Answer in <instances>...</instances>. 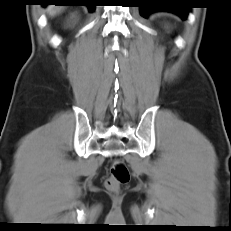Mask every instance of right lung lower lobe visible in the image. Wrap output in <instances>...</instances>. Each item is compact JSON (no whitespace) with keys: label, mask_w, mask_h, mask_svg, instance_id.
Instances as JSON below:
<instances>
[{"label":"right lung lower lobe","mask_w":231,"mask_h":231,"mask_svg":"<svg viewBox=\"0 0 231 231\" xmlns=\"http://www.w3.org/2000/svg\"><path fill=\"white\" fill-rule=\"evenodd\" d=\"M44 3L42 5L46 6L48 4L55 5H85L89 8L91 12L94 11V6L90 3L89 0H43Z\"/></svg>","instance_id":"right-lung-lower-lobe-1"}]
</instances>
